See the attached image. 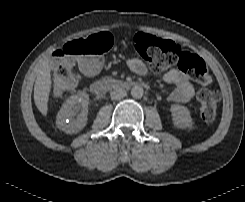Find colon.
I'll use <instances>...</instances> for the list:
<instances>
[{"label": "colon", "instance_id": "colon-1", "mask_svg": "<svg viewBox=\"0 0 245 202\" xmlns=\"http://www.w3.org/2000/svg\"><path fill=\"white\" fill-rule=\"evenodd\" d=\"M114 44V38L108 32L92 35L85 40L68 41L53 52L55 62L54 90H66L74 82L75 58L84 60L83 69L91 72L89 61L98 65L99 56L109 51ZM135 53L155 72L160 73L170 66L178 64L180 68L191 74L200 85L198 100L201 118L210 122L215 119L218 111L219 93L210 89V78L205 62L197 55L186 51L178 43L160 39L139 32L131 40Z\"/></svg>", "mask_w": 245, "mask_h": 202}]
</instances>
